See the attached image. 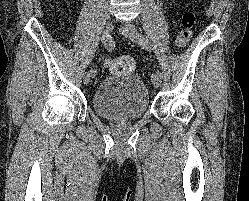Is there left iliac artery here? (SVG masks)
<instances>
[{
  "mask_svg": "<svg viewBox=\"0 0 249 201\" xmlns=\"http://www.w3.org/2000/svg\"><path fill=\"white\" fill-rule=\"evenodd\" d=\"M137 43L139 45H141L143 48L145 49H149L150 48V42H149V39L141 34H138L137 35ZM156 74L162 76V73L161 71L157 70L156 71Z\"/></svg>",
  "mask_w": 249,
  "mask_h": 201,
  "instance_id": "44dca946",
  "label": "left iliac artery"
}]
</instances>
